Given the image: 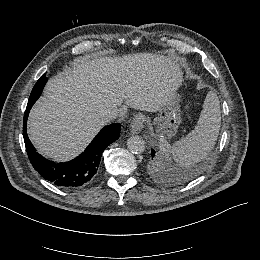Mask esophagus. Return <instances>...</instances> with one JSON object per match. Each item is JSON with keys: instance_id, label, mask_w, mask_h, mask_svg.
<instances>
[{"instance_id": "1", "label": "esophagus", "mask_w": 260, "mask_h": 260, "mask_svg": "<svg viewBox=\"0 0 260 260\" xmlns=\"http://www.w3.org/2000/svg\"><path fill=\"white\" fill-rule=\"evenodd\" d=\"M146 121V116L142 113H138L134 116L131 124H130V132L133 134H138L144 128V124Z\"/></svg>"}]
</instances>
